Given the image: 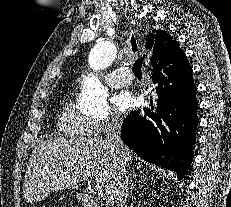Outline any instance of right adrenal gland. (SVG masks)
I'll list each match as a JSON object with an SVG mask.
<instances>
[{
    "instance_id": "right-adrenal-gland-1",
    "label": "right adrenal gland",
    "mask_w": 231,
    "mask_h": 207,
    "mask_svg": "<svg viewBox=\"0 0 231 207\" xmlns=\"http://www.w3.org/2000/svg\"><path fill=\"white\" fill-rule=\"evenodd\" d=\"M136 184L134 183L133 181V177L131 176V179H130V191L132 192L135 188Z\"/></svg>"
}]
</instances>
